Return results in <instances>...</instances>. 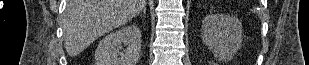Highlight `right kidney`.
Segmentation results:
<instances>
[{
  "instance_id": "ca27d5eb",
  "label": "right kidney",
  "mask_w": 309,
  "mask_h": 65,
  "mask_svg": "<svg viewBox=\"0 0 309 65\" xmlns=\"http://www.w3.org/2000/svg\"><path fill=\"white\" fill-rule=\"evenodd\" d=\"M123 45L126 48H123ZM141 51V32L130 25L104 37L95 51L96 65H136Z\"/></svg>"
}]
</instances>
